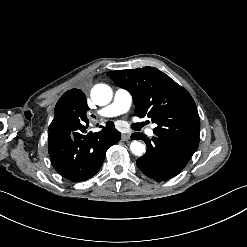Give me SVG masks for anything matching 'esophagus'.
I'll list each match as a JSON object with an SVG mask.
<instances>
[{"label": "esophagus", "mask_w": 247, "mask_h": 247, "mask_svg": "<svg viewBox=\"0 0 247 247\" xmlns=\"http://www.w3.org/2000/svg\"><path fill=\"white\" fill-rule=\"evenodd\" d=\"M121 139L123 141H127L130 139V134L129 133H123L122 136H121Z\"/></svg>", "instance_id": "34e87169"}]
</instances>
